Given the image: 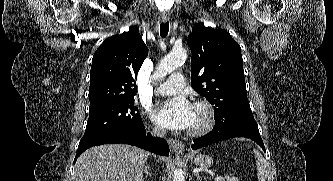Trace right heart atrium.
I'll use <instances>...</instances> for the list:
<instances>
[{
  "label": "right heart atrium",
  "instance_id": "right-heart-atrium-1",
  "mask_svg": "<svg viewBox=\"0 0 333 181\" xmlns=\"http://www.w3.org/2000/svg\"><path fill=\"white\" fill-rule=\"evenodd\" d=\"M152 131L155 133V134H162V132H163V130H162V128L160 127V126H158V125H154L153 127H152Z\"/></svg>",
  "mask_w": 333,
  "mask_h": 181
}]
</instances>
